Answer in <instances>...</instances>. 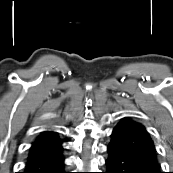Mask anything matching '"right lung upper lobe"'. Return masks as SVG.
Here are the masks:
<instances>
[{
    "instance_id": "obj_1",
    "label": "right lung upper lobe",
    "mask_w": 173,
    "mask_h": 173,
    "mask_svg": "<svg viewBox=\"0 0 173 173\" xmlns=\"http://www.w3.org/2000/svg\"><path fill=\"white\" fill-rule=\"evenodd\" d=\"M61 144L57 133L53 131H45L41 133L36 140L32 143L30 150L42 149Z\"/></svg>"
}]
</instances>
